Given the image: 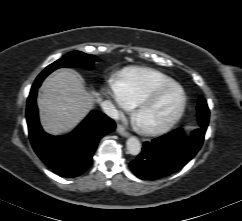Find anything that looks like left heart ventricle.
Masks as SVG:
<instances>
[{"label": "left heart ventricle", "mask_w": 242, "mask_h": 221, "mask_svg": "<svg viewBox=\"0 0 242 221\" xmlns=\"http://www.w3.org/2000/svg\"><path fill=\"white\" fill-rule=\"evenodd\" d=\"M179 103L180 93L175 90L170 91L139 117V123L142 126L161 124L173 114Z\"/></svg>", "instance_id": "left-heart-ventricle-1"}]
</instances>
